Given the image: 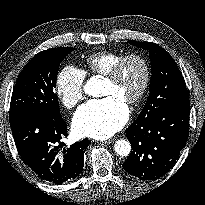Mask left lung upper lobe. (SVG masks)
Here are the masks:
<instances>
[{
    "label": "left lung upper lobe",
    "instance_id": "obj_1",
    "mask_svg": "<svg viewBox=\"0 0 205 205\" xmlns=\"http://www.w3.org/2000/svg\"><path fill=\"white\" fill-rule=\"evenodd\" d=\"M149 51L151 58V80L149 97L143 110L134 122H142L157 115L169 104L189 99L184 78L170 54L160 46L151 42L129 41Z\"/></svg>",
    "mask_w": 205,
    "mask_h": 205
}]
</instances>
